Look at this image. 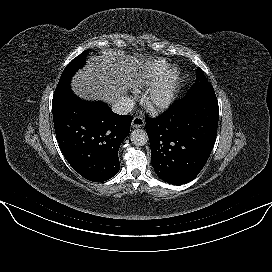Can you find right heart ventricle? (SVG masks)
<instances>
[{"instance_id":"obj_1","label":"right heart ventricle","mask_w":272,"mask_h":272,"mask_svg":"<svg viewBox=\"0 0 272 272\" xmlns=\"http://www.w3.org/2000/svg\"><path fill=\"white\" fill-rule=\"evenodd\" d=\"M168 68L169 64L164 60H154L146 63L134 81V87H148L156 84Z\"/></svg>"}]
</instances>
